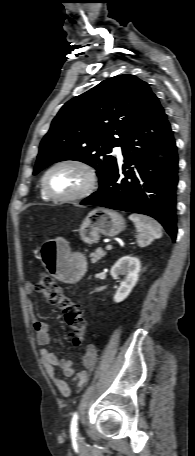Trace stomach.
<instances>
[{
    "mask_svg": "<svg viewBox=\"0 0 195 456\" xmlns=\"http://www.w3.org/2000/svg\"><path fill=\"white\" fill-rule=\"evenodd\" d=\"M125 227L121 214L106 208H96L88 213L79 228L81 239L97 243L100 235L116 236ZM40 256L46 270L65 282L77 281L85 272L87 261L83 254L72 252L63 239L47 240L41 247Z\"/></svg>",
    "mask_w": 195,
    "mask_h": 456,
    "instance_id": "obj_1",
    "label": "stomach"
}]
</instances>
